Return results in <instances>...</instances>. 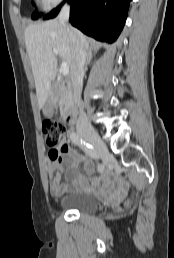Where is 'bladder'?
<instances>
[{"label":"bladder","instance_id":"bladder-1","mask_svg":"<svg viewBox=\"0 0 174 258\" xmlns=\"http://www.w3.org/2000/svg\"><path fill=\"white\" fill-rule=\"evenodd\" d=\"M56 204L59 208L85 214H94L100 209L99 200L85 190L64 194L57 199Z\"/></svg>","mask_w":174,"mask_h":258}]
</instances>
